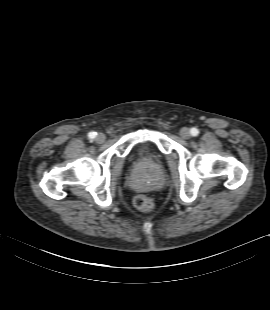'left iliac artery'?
<instances>
[{
	"label": "left iliac artery",
	"instance_id": "obj_1",
	"mask_svg": "<svg viewBox=\"0 0 270 310\" xmlns=\"http://www.w3.org/2000/svg\"><path fill=\"white\" fill-rule=\"evenodd\" d=\"M191 134H192V136H197L199 134L198 129L197 128H192L191 129Z\"/></svg>",
	"mask_w": 270,
	"mask_h": 310
}]
</instances>
